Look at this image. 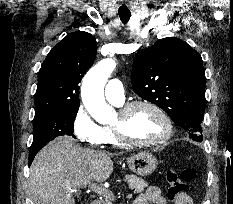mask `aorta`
Instances as JSON below:
<instances>
[{"label":"aorta","mask_w":233,"mask_h":204,"mask_svg":"<svg viewBox=\"0 0 233 204\" xmlns=\"http://www.w3.org/2000/svg\"><path fill=\"white\" fill-rule=\"evenodd\" d=\"M116 67L113 59H104L85 75L81 86V98L86 110L99 123H109L115 117L114 109L104 98V86Z\"/></svg>","instance_id":"obj_1"}]
</instances>
